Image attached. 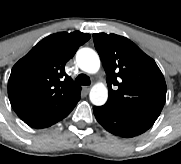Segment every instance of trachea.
I'll return each mask as SVG.
<instances>
[{
    "mask_svg": "<svg viewBox=\"0 0 181 164\" xmlns=\"http://www.w3.org/2000/svg\"><path fill=\"white\" fill-rule=\"evenodd\" d=\"M75 83L78 85H90L91 81L87 75L79 74L75 79Z\"/></svg>",
    "mask_w": 181,
    "mask_h": 164,
    "instance_id": "trachea-1",
    "label": "trachea"
}]
</instances>
